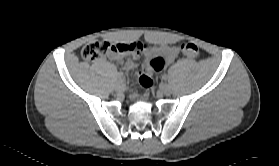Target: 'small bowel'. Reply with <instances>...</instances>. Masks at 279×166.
Masks as SVG:
<instances>
[{
  "instance_id": "c3829d8e",
  "label": "small bowel",
  "mask_w": 279,
  "mask_h": 166,
  "mask_svg": "<svg viewBox=\"0 0 279 166\" xmlns=\"http://www.w3.org/2000/svg\"><path fill=\"white\" fill-rule=\"evenodd\" d=\"M141 53H144L147 56L158 58V62H159L158 65L155 68H150L149 67V71H161L168 64L172 63L176 59V57L178 55V49L174 46H168V45H163V46H160L158 48H154V47L149 46V45H142V52ZM139 54H135V56L138 57ZM107 56L111 60H119L120 57H121V56H118V55H115V54H109ZM136 66H137L136 63L132 59H128L124 62V67L127 70H132Z\"/></svg>"
}]
</instances>
